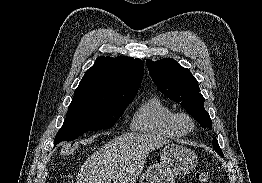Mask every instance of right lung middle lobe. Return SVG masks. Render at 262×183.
Segmentation results:
<instances>
[{
  "mask_svg": "<svg viewBox=\"0 0 262 183\" xmlns=\"http://www.w3.org/2000/svg\"><path fill=\"white\" fill-rule=\"evenodd\" d=\"M132 100L74 96L64 124L55 137L54 145L76 139L87 131L111 128Z\"/></svg>",
  "mask_w": 262,
  "mask_h": 183,
  "instance_id": "1",
  "label": "right lung middle lobe"
}]
</instances>
